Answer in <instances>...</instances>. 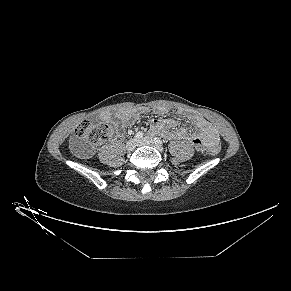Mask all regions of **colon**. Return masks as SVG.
Masks as SVG:
<instances>
[{"label":"colon","instance_id":"obj_1","mask_svg":"<svg viewBox=\"0 0 291 291\" xmlns=\"http://www.w3.org/2000/svg\"><path fill=\"white\" fill-rule=\"evenodd\" d=\"M113 134V128L101 121H84L79 124L75 131L77 139L84 141L89 146H95L107 141ZM220 151L217 143L208 147L207 152L210 156H216Z\"/></svg>","mask_w":291,"mask_h":291}]
</instances>
